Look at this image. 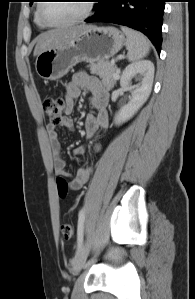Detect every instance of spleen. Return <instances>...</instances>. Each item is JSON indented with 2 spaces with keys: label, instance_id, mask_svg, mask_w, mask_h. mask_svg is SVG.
I'll return each mask as SVG.
<instances>
[{
  "label": "spleen",
  "instance_id": "3e777b00",
  "mask_svg": "<svg viewBox=\"0 0 195 299\" xmlns=\"http://www.w3.org/2000/svg\"><path fill=\"white\" fill-rule=\"evenodd\" d=\"M121 29L127 37L126 48L128 50V60L135 62L144 58L150 50L148 39L140 32L128 27H121Z\"/></svg>",
  "mask_w": 195,
  "mask_h": 299
}]
</instances>
